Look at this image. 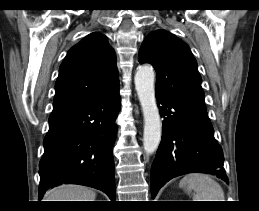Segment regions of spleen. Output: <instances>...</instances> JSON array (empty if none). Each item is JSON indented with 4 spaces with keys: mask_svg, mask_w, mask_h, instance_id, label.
<instances>
[{
    "mask_svg": "<svg viewBox=\"0 0 259 211\" xmlns=\"http://www.w3.org/2000/svg\"><path fill=\"white\" fill-rule=\"evenodd\" d=\"M180 187L194 190L193 201H225L222 187L207 174H188L180 181Z\"/></svg>",
    "mask_w": 259,
    "mask_h": 211,
    "instance_id": "1",
    "label": "spleen"
}]
</instances>
